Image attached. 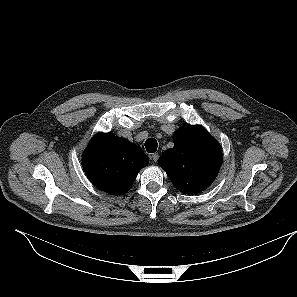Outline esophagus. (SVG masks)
Instances as JSON below:
<instances>
[{"label":"esophagus","mask_w":297,"mask_h":297,"mask_svg":"<svg viewBox=\"0 0 297 297\" xmlns=\"http://www.w3.org/2000/svg\"><path fill=\"white\" fill-rule=\"evenodd\" d=\"M151 158H152V160H153L154 162H157L158 159H159V155H158V153H154V154H152Z\"/></svg>","instance_id":"1"}]
</instances>
